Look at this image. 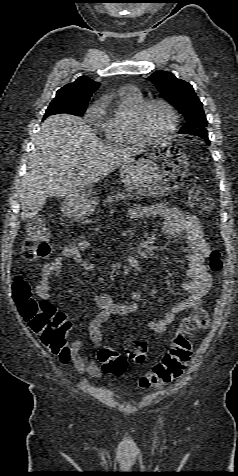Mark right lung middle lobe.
Segmentation results:
<instances>
[{"mask_svg":"<svg viewBox=\"0 0 238 476\" xmlns=\"http://www.w3.org/2000/svg\"><path fill=\"white\" fill-rule=\"evenodd\" d=\"M86 107L87 104H78L65 97H56L47 108L44 118L58 113L81 115L85 112Z\"/></svg>","mask_w":238,"mask_h":476,"instance_id":"obj_1","label":"right lung middle lobe"}]
</instances>
